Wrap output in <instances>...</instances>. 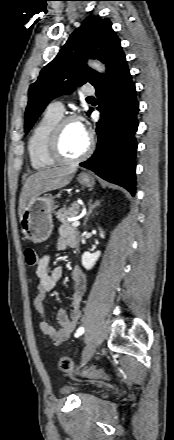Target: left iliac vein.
I'll use <instances>...</instances> for the list:
<instances>
[{"mask_svg":"<svg viewBox=\"0 0 174 440\" xmlns=\"http://www.w3.org/2000/svg\"><path fill=\"white\" fill-rule=\"evenodd\" d=\"M96 347V343L87 344L82 354L81 365H84L92 357L96 350Z\"/></svg>","mask_w":174,"mask_h":440,"instance_id":"1","label":"left iliac vein"}]
</instances>
